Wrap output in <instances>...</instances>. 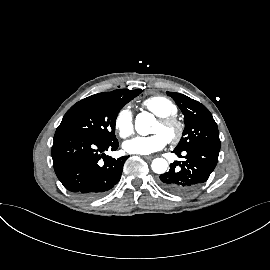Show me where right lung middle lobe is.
<instances>
[{
    "label": "right lung middle lobe",
    "instance_id": "right-lung-middle-lobe-1",
    "mask_svg": "<svg viewBox=\"0 0 270 270\" xmlns=\"http://www.w3.org/2000/svg\"><path fill=\"white\" fill-rule=\"evenodd\" d=\"M142 90L126 98L95 94L74 104L64 115L55 134L76 133L109 143L115 137V122L125 104L138 96Z\"/></svg>",
    "mask_w": 270,
    "mask_h": 270
}]
</instances>
